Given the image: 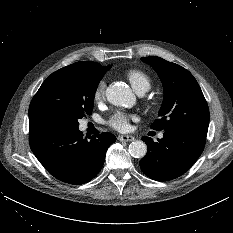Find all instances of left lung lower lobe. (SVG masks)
I'll use <instances>...</instances> for the list:
<instances>
[{
  "label": "left lung lower lobe",
  "mask_w": 233,
  "mask_h": 233,
  "mask_svg": "<svg viewBox=\"0 0 233 233\" xmlns=\"http://www.w3.org/2000/svg\"><path fill=\"white\" fill-rule=\"evenodd\" d=\"M207 131V128L185 126L165 131L158 142L142 137L148 150L140 161L141 170L157 181H169L181 176L201 155Z\"/></svg>",
  "instance_id": "1"
}]
</instances>
